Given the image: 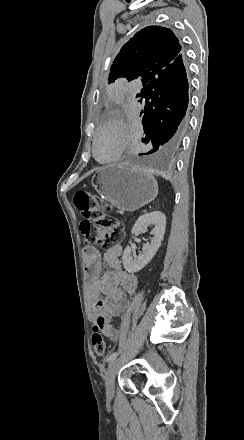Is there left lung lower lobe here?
<instances>
[{"mask_svg":"<svg viewBox=\"0 0 244 440\" xmlns=\"http://www.w3.org/2000/svg\"><path fill=\"white\" fill-rule=\"evenodd\" d=\"M178 57L177 64L161 71L136 95L142 105V141L153 144L152 150L139 155L176 150L188 130V80L182 54Z\"/></svg>","mask_w":244,"mask_h":440,"instance_id":"left-lung-lower-lobe-1","label":"left lung lower lobe"}]
</instances>
